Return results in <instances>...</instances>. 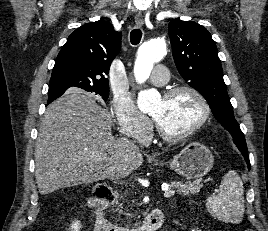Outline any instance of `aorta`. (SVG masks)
<instances>
[{"label":"aorta","instance_id":"762f6f07","mask_svg":"<svg viewBox=\"0 0 268 231\" xmlns=\"http://www.w3.org/2000/svg\"><path fill=\"white\" fill-rule=\"evenodd\" d=\"M164 39L150 40L140 46L134 65V76L138 83H144L150 76L154 63L159 62L166 55ZM159 98V93L154 90L141 91L138 94L137 105L141 111L151 108V103Z\"/></svg>","mask_w":268,"mask_h":231}]
</instances>
